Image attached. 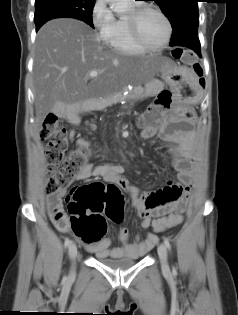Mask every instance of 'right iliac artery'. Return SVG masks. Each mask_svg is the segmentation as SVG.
<instances>
[{"mask_svg":"<svg viewBox=\"0 0 238 315\" xmlns=\"http://www.w3.org/2000/svg\"><path fill=\"white\" fill-rule=\"evenodd\" d=\"M70 243H71L70 239H69V238H66V239H65V243H64L65 247L67 248Z\"/></svg>","mask_w":238,"mask_h":315,"instance_id":"82829eb1","label":"right iliac artery"}]
</instances>
